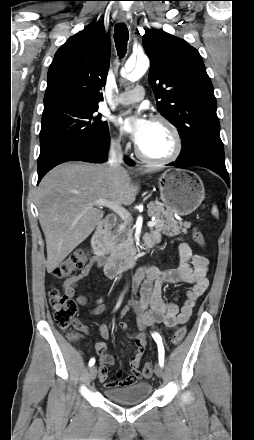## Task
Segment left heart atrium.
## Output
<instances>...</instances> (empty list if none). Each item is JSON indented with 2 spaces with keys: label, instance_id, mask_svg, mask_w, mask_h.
<instances>
[{
  "label": "left heart atrium",
  "instance_id": "obj_1",
  "mask_svg": "<svg viewBox=\"0 0 254 440\" xmlns=\"http://www.w3.org/2000/svg\"><path fill=\"white\" fill-rule=\"evenodd\" d=\"M115 125L139 145L147 136L152 121L140 112L126 111L115 118Z\"/></svg>",
  "mask_w": 254,
  "mask_h": 440
}]
</instances>
